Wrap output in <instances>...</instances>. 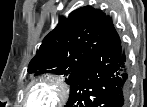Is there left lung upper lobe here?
<instances>
[{"mask_svg":"<svg viewBox=\"0 0 147 107\" xmlns=\"http://www.w3.org/2000/svg\"><path fill=\"white\" fill-rule=\"evenodd\" d=\"M112 28L111 18L99 9L85 6L74 10L68 17L60 18L55 29L44 38L28 72L64 75L70 85Z\"/></svg>","mask_w":147,"mask_h":107,"instance_id":"obj_1","label":"left lung upper lobe"}]
</instances>
